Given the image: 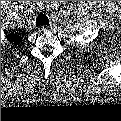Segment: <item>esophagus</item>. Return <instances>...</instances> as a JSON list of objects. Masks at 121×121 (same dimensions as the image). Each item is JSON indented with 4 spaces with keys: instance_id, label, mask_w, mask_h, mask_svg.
<instances>
[{
    "instance_id": "obj_1",
    "label": "esophagus",
    "mask_w": 121,
    "mask_h": 121,
    "mask_svg": "<svg viewBox=\"0 0 121 121\" xmlns=\"http://www.w3.org/2000/svg\"><path fill=\"white\" fill-rule=\"evenodd\" d=\"M42 31H47L48 29L45 28L44 26L41 28Z\"/></svg>"
}]
</instances>
